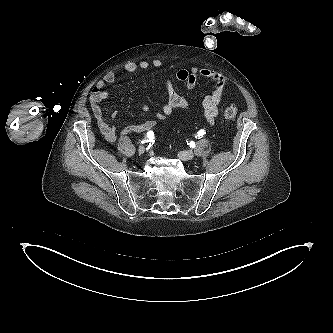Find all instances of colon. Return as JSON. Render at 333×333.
<instances>
[{
    "label": "colon",
    "mask_w": 333,
    "mask_h": 333,
    "mask_svg": "<svg viewBox=\"0 0 333 333\" xmlns=\"http://www.w3.org/2000/svg\"><path fill=\"white\" fill-rule=\"evenodd\" d=\"M238 110L235 106H228L224 110V118L227 121H232L237 116Z\"/></svg>",
    "instance_id": "colon-1"
}]
</instances>
